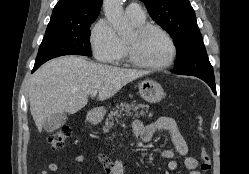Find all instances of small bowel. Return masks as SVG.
I'll return each instance as SVG.
<instances>
[{"label": "small bowel", "mask_w": 249, "mask_h": 174, "mask_svg": "<svg viewBox=\"0 0 249 174\" xmlns=\"http://www.w3.org/2000/svg\"><path fill=\"white\" fill-rule=\"evenodd\" d=\"M165 132L169 135L173 145L174 150L164 149L161 151V156L163 158L170 159L168 163V168L172 171L178 169L179 163L173 158L175 155L184 157L183 165L186 169L190 170V174H201L196 170L198 166V161L196 158L187 156L188 146L187 143L174 119L169 117H161L155 122L144 125L140 120H134L131 124V134L135 139H141L144 142H149L155 133ZM97 160L104 167L105 174H124V167L122 161L118 158L116 160H111L109 157L103 154L97 155ZM75 163L81 164L85 161L83 155H76L73 158ZM60 169L58 163H50L48 170H43L41 174H49L50 172H56Z\"/></svg>", "instance_id": "c3829d8e"}]
</instances>
